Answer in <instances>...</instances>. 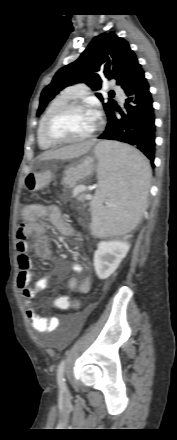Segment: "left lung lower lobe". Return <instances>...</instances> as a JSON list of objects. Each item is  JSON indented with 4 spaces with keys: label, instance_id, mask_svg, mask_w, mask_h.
Here are the masks:
<instances>
[{
    "label": "left lung lower lobe",
    "instance_id": "left-lung-lower-lobe-1",
    "mask_svg": "<svg viewBox=\"0 0 177 440\" xmlns=\"http://www.w3.org/2000/svg\"><path fill=\"white\" fill-rule=\"evenodd\" d=\"M124 91L128 96L126 112H120L121 119L116 118L114 111L108 115L106 130L98 138L117 140L136 147L155 167V115L149 85L142 69Z\"/></svg>",
    "mask_w": 177,
    "mask_h": 440
}]
</instances>
